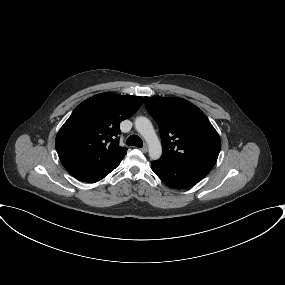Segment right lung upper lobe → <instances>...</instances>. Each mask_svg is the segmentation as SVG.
Listing matches in <instances>:
<instances>
[{
    "instance_id": "cb5924a9",
    "label": "right lung upper lobe",
    "mask_w": 285,
    "mask_h": 285,
    "mask_svg": "<svg viewBox=\"0 0 285 285\" xmlns=\"http://www.w3.org/2000/svg\"><path fill=\"white\" fill-rule=\"evenodd\" d=\"M142 104V97L112 92L79 104L56 136L55 147L68 173L91 178L114 170L127 152L119 146V124Z\"/></svg>"
}]
</instances>
